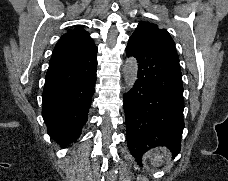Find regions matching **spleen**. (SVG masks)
Segmentation results:
<instances>
[{"mask_svg": "<svg viewBox=\"0 0 228 181\" xmlns=\"http://www.w3.org/2000/svg\"><path fill=\"white\" fill-rule=\"evenodd\" d=\"M149 157L150 163L153 167H160V165L164 163V153L161 149L160 151H158V149H153V151H150Z\"/></svg>", "mask_w": 228, "mask_h": 181, "instance_id": "obj_1", "label": "spleen"}]
</instances>
